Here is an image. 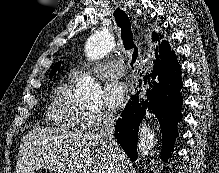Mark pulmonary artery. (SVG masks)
I'll return each instance as SVG.
<instances>
[{
    "instance_id": "e3ab8cb5",
    "label": "pulmonary artery",
    "mask_w": 219,
    "mask_h": 173,
    "mask_svg": "<svg viewBox=\"0 0 219 173\" xmlns=\"http://www.w3.org/2000/svg\"><path fill=\"white\" fill-rule=\"evenodd\" d=\"M83 71L82 69H72L69 72L70 79H76ZM87 72L95 74L101 79L118 78L123 74V67L118 60L101 62L92 68L86 70Z\"/></svg>"
}]
</instances>
